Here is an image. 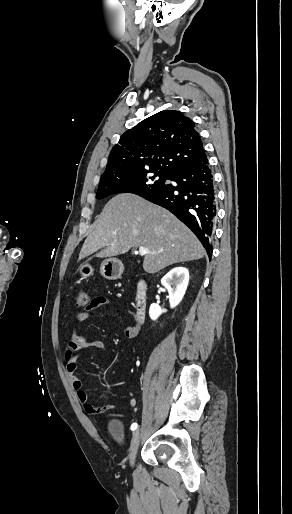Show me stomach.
Listing matches in <instances>:
<instances>
[{
  "mask_svg": "<svg viewBox=\"0 0 292 514\" xmlns=\"http://www.w3.org/2000/svg\"><path fill=\"white\" fill-rule=\"evenodd\" d=\"M78 272L81 274L82 278H90L93 274V268L90 264H81L78 268ZM123 272V264L120 260H116V258L104 260L100 266V274H102L103 278H106V280H118V278H121Z\"/></svg>",
  "mask_w": 292,
  "mask_h": 514,
  "instance_id": "stomach-1",
  "label": "stomach"
}]
</instances>
